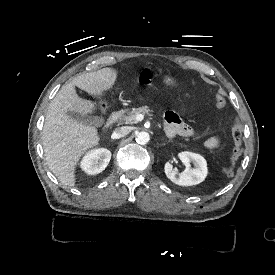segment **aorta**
<instances>
[{
	"label": "aorta",
	"mask_w": 275,
	"mask_h": 275,
	"mask_svg": "<svg viewBox=\"0 0 275 275\" xmlns=\"http://www.w3.org/2000/svg\"><path fill=\"white\" fill-rule=\"evenodd\" d=\"M135 140H136V142H137L138 144L145 145V144L148 143L149 140H150L149 133H147V132H145V131L138 132V133L136 134Z\"/></svg>",
	"instance_id": "obj_1"
}]
</instances>
